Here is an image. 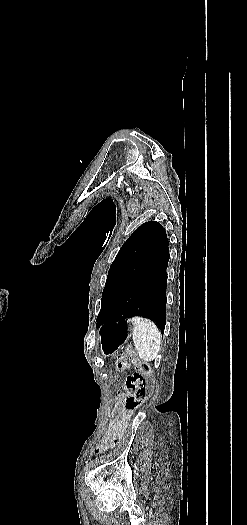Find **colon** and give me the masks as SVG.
<instances>
[{
  "mask_svg": "<svg viewBox=\"0 0 247 525\" xmlns=\"http://www.w3.org/2000/svg\"><path fill=\"white\" fill-rule=\"evenodd\" d=\"M130 365H134L139 371L127 378V386L135 390L133 394H127L124 397V407L132 412L135 411L141 403L147 398L152 366L140 360L133 348L127 347L117 356V363L114 365L116 372H122Z\"/></svg>",
  "mask_w": 247,
  "mask_h": 525,
  "instance_id": "obj_1",
  "label": "colon"
}]
</instances>
